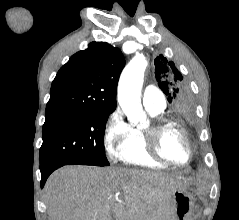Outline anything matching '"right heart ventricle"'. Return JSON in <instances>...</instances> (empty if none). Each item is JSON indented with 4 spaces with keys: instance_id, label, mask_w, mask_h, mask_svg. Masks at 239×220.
Masks as SVG:
<instances>
[{
    "instance_id": "obj_1",
    "label": "right heart ventricle",
    "mask_w": 239,
    "mask_h": 220,
    "mask_svg": "<svg viewBox=\"0 0 239 220\" xmlns=\"http://www.w3.org/2000/svg\"><path fill=\"white\" fill-rule=\"evenodd\" d=\"M152 117L161 116L163 110L146 107ZM119 160L124 164L147 167L162 168L167 164L162 163L150 156L146 149L145 138L140 127L132 128V139L120 152Z\"/></svg>"
}]
</instances>
